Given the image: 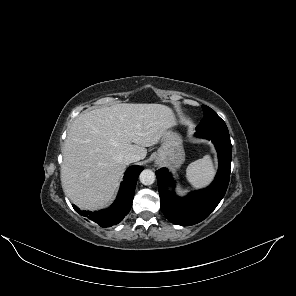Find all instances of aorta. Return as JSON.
Wrapping results in <instances>:
<instances>
[{"label": "aorta", "mask_w": 296, "mask_h": 296, "mask_svg": "<svg viewBox=\"0 0 296 296\" xmlns=\"http://www.w3.org/2000/svg\"><path fill=\"white\" fill-rule=\"evenodd\" d=\"M155 173L150 169H145L140 173L139 179L143 185H152L155 181Z\"/></svg>", "instance_id": "762f6f07"}]
</instances>
